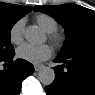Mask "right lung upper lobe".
<instances>
[{"label": "right lung upper lobe", "mask_w": 95, "mask_h": 95, "mask_svg": "<svg viewBox=\"0 0 95 95\" xmlns=\"http://www.w3.org/2000/svg\"><path fill=\"white\" fill-rule=\"evenodd\" d=\"M12 8L30 9V7H28V6H19V5L8 4V3H1V4H0V11L12 9Z\"/></svg>", "instance_id": "1"}]
</instances>
